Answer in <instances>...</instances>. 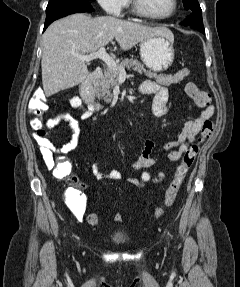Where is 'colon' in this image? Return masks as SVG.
<instances>
[{
	"instance_id": "1",
	"label": "colon",
	"mask_w": 240,
	"mask_h": 287,
	"mask_svg": "<svg viewBox=\"0 0 240 287\" xmlns=\"http://www.w3.org/2000/svg\"><path fill=\"white\" fill-rule=\"evenodd\" d=\"M186 94L195 102V104L199 107H206L211 102V96L206 91L201 90L195 83L189 82L185 86ZM48 108L46 99L42 95H36L31 98L29 102L30 113L33 116L31 119V127L35 131V134L40 138H45L46 132L43 128L42 121L40 119L41 114L46 111ZM213 129V123L211 121H206L201 130V136L198 139V142L192 144L188 147V149L184 152L181 162L175 169V173L173 178L167 185L164 200L162 205L157 207L153 212V218H159L163 216L166 209L173 205L175 202L179 189L183 184L186 176L188 175L192 165L195 162V159L198 155L200 144L210 135ZM52 167H54V175L58 178H63L68 175L71 171V163L59 156L56 161L52 163ZM164 175L160 174L156 179L158 181L163 180ZM152 178L149 173L145 172L139 177V186L144 185L146 182L150 181ZM114 220L117 222L123 221V216L120 213L115 214ZM87 222L90 225H98L99 217L92 213L87 216Z\"/></svg>"
}]
</instances>
